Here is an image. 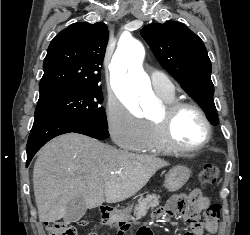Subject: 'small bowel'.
<instances>
[{"instance_id":"c3829d8e","label":"small bowel","mask_w":250,"mask_h":235,"mask_svg":"<svg viewBox=\"0 0 250 235\" xmlns=\"http://www.w3.org/2000/svg\"><path fill=\"white\" fill-rule=\"evenodd\" d=\"M188 197L189 198H171L165 206L154 211L153 218L159 220L164 217L181 214L187 223L186 227H181L183 235H215L218 225L202 224L197 219V215L209 205V197L199 191H192ZM88 235L97 234L90 233ZM118 235L123 234L119 232Z\"/></svg>"}]
</instances>
